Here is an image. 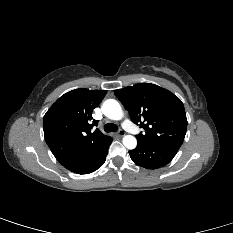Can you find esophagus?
Instances as JSON below:
<instances>
[{
	"instance_id": "esophagus-1",
	"label": "esophagus",
	"mask_w": 233,
	"mask_h": 233,
	"mask_svg": "<svg viewBox=\"0 0 233 233\" xmlns=\"http://www.w3.org/2000/svg\"><path fill=\"white\" fill-rule=\"evenodd\" d=\"M125 135V131L120 129L118 132H117V136L119 137H123Z\"/></svg>"
}]
</instances>
